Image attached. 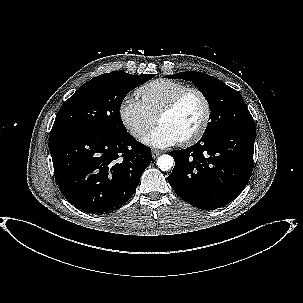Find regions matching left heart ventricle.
Wrapping results in <instances>:
<instances>
[{"label":"left heart ventricle","instance_id":"1","mask_svg":"<svg viewBox=\"0 0 303 303\" xmlns=\"http://www.w3.org/2000/svg\"><path fill=\"white\" fill-rule=\"evenodd\" d=\"M204 112L201 98L191 93L187 95L178 107L164 116L159 124L166 126L175 133L179 140L192 134L200 125Z\"/></svg>","mask_w":303,"mask_h":303}]
</instances>
